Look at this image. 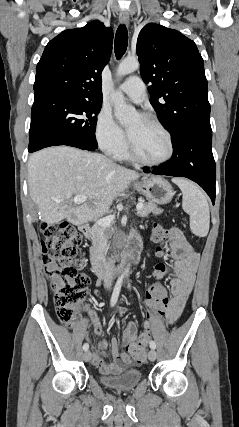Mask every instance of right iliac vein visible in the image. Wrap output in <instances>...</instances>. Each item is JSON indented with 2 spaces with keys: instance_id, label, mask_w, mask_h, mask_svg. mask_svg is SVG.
Instances as JSON below:
<instances>
[{
  "instance_id": "1",
  "label": "right iliac vein",
  "mask_w": 239,
  "mask_h": 427,
  "mask_svg": "<svg viewBox=\"0 0 239 427\" xmlns=\"http://www.w3.org/2000/svg\"><path fill=\"white\" fill-rule=\"evenodd\" d=\"M91 352L90 351H85L84 355H83V359L86 362H89L91 360Z\"/></svg>"
}]
</instances>
